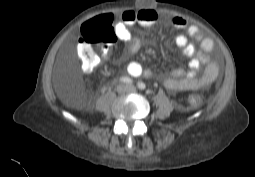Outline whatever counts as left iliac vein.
I'll return each mask as SVG.
<instances>
[{
  "instance_id": "left-iliac-vein-1",
  "label": "left iliac vein",
  "mask_w": 255,
  "mask_h": 177,
  "mask_svg": "<svg viewBox=\"0 0 255 177\" xmlns=\"http://www.w3.org/2000/svg\"><path fill=\"white\" fill-rule=\"evenodd\" d=\"M130 90H133V88H132V87H130Z\"/></svg>"
}]
</instances>
